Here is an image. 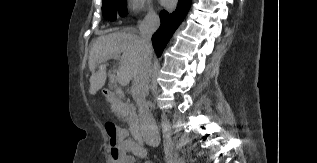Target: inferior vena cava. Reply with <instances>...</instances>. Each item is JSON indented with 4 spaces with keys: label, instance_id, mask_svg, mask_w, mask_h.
I'll return each instance as SVG.
<instances>
[{
    "label": "inferior vena cava",
    "instance_id": "obj_1",
    "mask_svg": "<svg viewBox=\"0 0 317 163\" xmlns=\"http://www.w3.org/2000/svg\"><path fill=\"white\" fill-rule=\"evenodd\" d=\"M160 26L159 16L149 11L139 25L141 34V44L143 51V60L139 66L138 72L133 80L132 95L136 101L139 112L140 132L145 142L150 146L160 144V134L146 103V96L149 93V83L151 75L152 43L151 37Z\"/></svg>",
    "mask_w": 317,
    "mask_h": 163
}]
</instances>
